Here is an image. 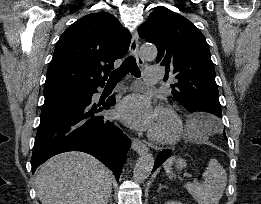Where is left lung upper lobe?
<instances>
[{
  "label": "left lung upper lobe",
  "instance_id": "5c2ea615",
  "mask_svg": "<svg viewBox=\"0 0 261 204\" xmlns=\"http://www.w3.org/2000/svg\"><path fill=\"white\" fill-rule=\"evenodd\" d=\"M141 38L155 44L156 62L166 67L176 81L174 99L189 112L221 124V105L215 69L204 35L192 22L169 10H155L138 29Z\"/></svg>",
  "mask_w": 261,
  "mask_h": 204
}]
</instances>
